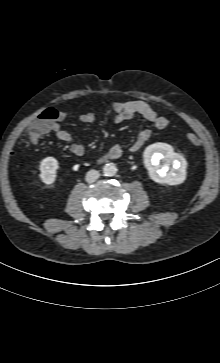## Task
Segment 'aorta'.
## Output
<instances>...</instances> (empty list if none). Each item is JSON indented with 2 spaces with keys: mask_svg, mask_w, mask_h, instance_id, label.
<instances>
[{
  "mask_svg": "<svg viewBox=\"0 0 220 363\" xmlns=\"http://www.w3.org/2000/svg\"><path fill=\"white\" fill-rule=\"evenodd\" d=\"M105 176L112 177L117 173V167L114 163H108L103 167Z\"/></svg>",
  "mask_w": 220,
  "mask_h": 363,
  "instance_id": "762f6f07",
  "label": "aorta"
}]
</instances>
